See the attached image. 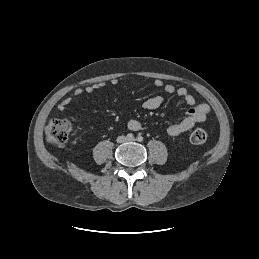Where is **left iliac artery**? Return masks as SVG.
<instances>
[{
	"label": "left iliac artery",
	"instance_id": "obj_1",
	"mask_svg": "<svg viewBox=\"0 0 259 259\" xmlns=\"http://www.w3.org/2000/svg\"><path fill=\"white\" fill-rule=\"evenodd\" d=\"M137 141L142 142L143 141V137L141 135L137 136Z\"/></svg>",
	"mask_w": 259,
	"mask_h": 259
}]
</instances>
